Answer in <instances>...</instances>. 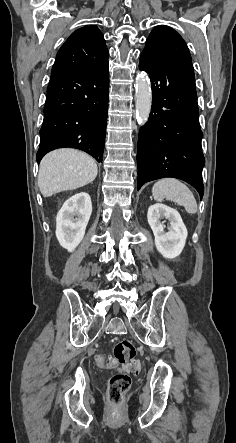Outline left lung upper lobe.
<instances>
[{
    "label": "left lung upper lobe",
    "mask_w": 236,
    "mask_h": 443,
    "mask_svg": "<svg viewBox=\"0 0 236 443\" xmlns=\"http://www.w3.org/2000/svg\"><path fill=\"white\" fill-rule=\"evenodd\" d=\"M142 53L155 59L191 62L189 49L182 37L165 25L156 26L151 31Z\"/></svg>",
    "instance_id": "left-lung-upper-lobe-1"
}]
</instances>
